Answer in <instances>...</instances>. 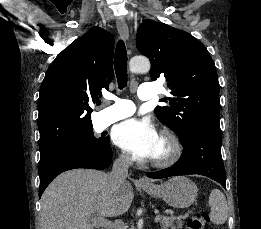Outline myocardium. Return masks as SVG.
Listing matches in <instances>:
<instances>
[{"label": "myocardium", "mask_w": 261, "mask_h": 229, "mask_svg": "<svg viewBox=\"0 0 261 229\" xmlns=\"http://www.w3.org/2000/svg\"><path fill=\"white\" fill-rule=\"evenodd\" d=\"M160 139L165 144V152L161 157L152 158L151 165L157 168H167L180 159L182 148L178 138L171 130H162Z\"/></svg>", "instance_id": "myocardium-1"}]
</instances>
